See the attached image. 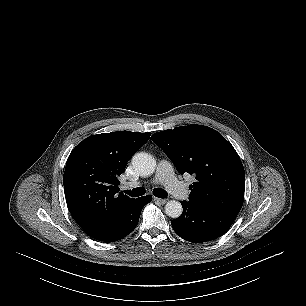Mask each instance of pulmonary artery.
Instances as JSON below:
<instances>
[{"mask_svg":"<svg viewBox=\"0 0 306 306\" xmlns=\"http://www.w3.org/2000/svg\"><path fill=\"white\" fill-rule=\"evenodd\" d=\"M151 183H162L166 186L171 194L177 199L183 200L188 197V190L182 182H180L173 171L172 165L167 160L159 162L157 167V173ZM138 183H126L125 188L137 186Z\"/></svg>","mask_w":306,"mask_h":306,"instance_id":"obj_1","label":"pulmonary artery"}]
</instances>
